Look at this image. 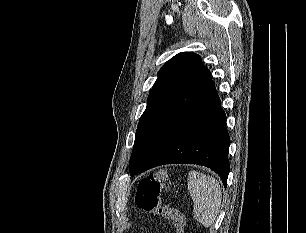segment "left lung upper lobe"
Masks as SVG:
<instances>
[{
    "mask_svg": "<svg viewBox=\"0 0 306 233\" xmlns=\"http://www.w3.org/2000/svg\"><path fill=\"white\" fill-rule=\"evenodd\" d=\"M213 86L210 71L193 52H181L164 64L138 123L129 162L132 176L165 134Z\"/></svg>",
    "mask_w": 306,
    "mask_h": 233,
    "instance_id": "5c2ea615",
    "label": "left lung upper lobe"
}]
</instances>
